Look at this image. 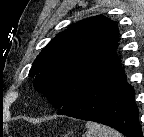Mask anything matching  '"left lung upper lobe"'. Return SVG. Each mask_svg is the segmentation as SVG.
<instances>
[{"label":"left lung upper lobe","mask_w":144,"mask_h":137,"mask_svg":"<svg viewBox=\"0 0 144 137\" xmlns=\"http://www.w3.org/2000/svg\"><path fill=\"white\" fill-rule=\"evenodd\" d=\"M119 31L101 15L70 25L37 56L29 75L35 90L61 109L120 67L116 55Z\"/></svg>","instance_id":"1"}]
</instances>
